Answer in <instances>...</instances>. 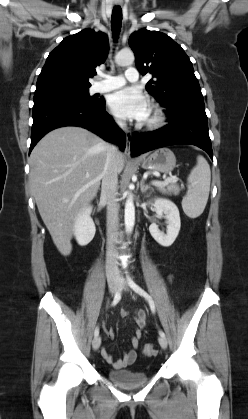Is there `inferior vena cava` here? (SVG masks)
<instances>
[{
    "mask_svg": "<svg viewBox=\"0 0 248 419\" xmlns=\"http://www.w3.org/2000/svg\"><path fill=\"white\" fill-rule=\"evenodd\" d=\"M120 128H126V123L117 120ZM118 148L115 145L108 144L107 158L102 172L101 199L107 205V252H106V270L108 276L118 277V261L115 244L118 242V211L117 187L118 170L116 165V156Z\"/></svg>",
    "mask_w": 248,
    "mask_h": 419,
    "instance_id": "1",
    "label": "inferior vena cava"
}]
</instances>
